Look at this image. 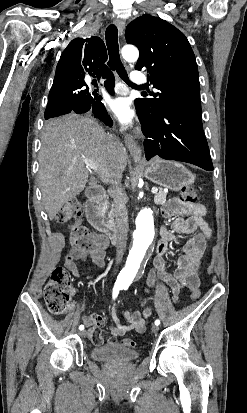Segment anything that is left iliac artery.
<instances>
[{
    "label": "left iliac artery",
    "mask_w": 247,
    "mask_h": 413,
    "mask_svg": "<svg viewBox=\"0 0 247 413\" xmlns=\"http://www.w3.org/2000/svg\"><path fill=\"white\" fill-rule=\"evenodd\" d=\"M128 287H129V284L122 286V289L127 290ZM159 324H160V321L157 319V320L155 321V325L158 326Z\"/></svg>",
    "instance_id": "44dca946"
}]
</instances>
